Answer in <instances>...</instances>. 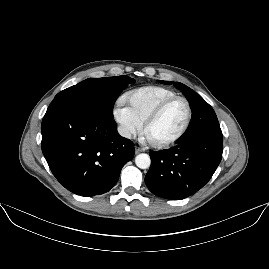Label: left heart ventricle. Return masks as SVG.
Instances as JSON below:
<instances>
[{"mask_svg": "<svg viewBox=\"0 0 269 269\" xmlns=\"http://www.w3.org/2000/svg\"><path fill=\"white\" fill-rule=\"evenodd\" d=\"M186 105L182 101L175 102L149 127L147 137L150 141L161 143L175 137L186 121Z\"/></svg>", "mask_w": 269, "mask_h": 269, "instance_id": "obj_1", "label": "left heart ventricle"}]
</instances>
